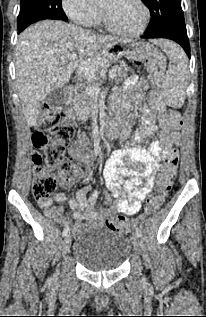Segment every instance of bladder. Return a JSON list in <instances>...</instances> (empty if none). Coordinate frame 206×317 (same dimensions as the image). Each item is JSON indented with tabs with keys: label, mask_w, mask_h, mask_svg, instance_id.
<instances>
[{
	"label": "bladder",
	"mask_w": 206,
	"mask_h": 317,
	"mask_svg": "<svg viewBox=\"0 0 206 317\" xmlns=\"http://www.w3.org/2000/svg\"><path fill=\"white\" fill-rule=\"evenodd\" d=\"M126 235L103 226L84 227L73 245V256L91 271L118 269L132 254Z\"/></svg>",
	"instance_id": "1"
}]
</instances>
